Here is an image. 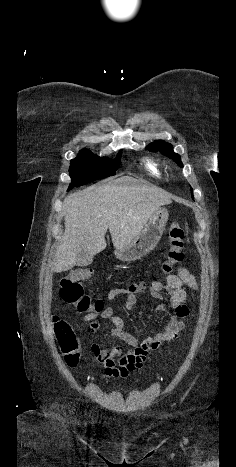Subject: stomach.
I'll use <instances>...</instances> for the list:
<instances>
[{"instance_id": "obj_1", "label": "stomach", "mask_w": 236, "mask_h": 467, "mask_svg": "<svg viewBox=\"0 0 236 467\" xmlns=\"http://www.w3.org/2000/svg\"><path fill=\"white\" fill-rule=\"evenodd\" d=\"M168 216L167 209L158 208L150 217L148 224L134 240L121 248H115L116 258L123 262H131L152 251L163 234Z\"/></svg>"}]
</instances>
